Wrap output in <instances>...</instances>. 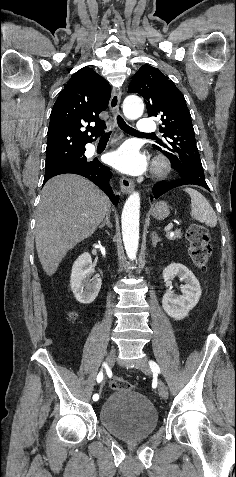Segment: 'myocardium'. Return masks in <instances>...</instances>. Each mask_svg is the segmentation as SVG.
Segmentation results:
<instances>
[{
	"label": "myocardium",
	"instance_id": "myocardium-1",
	"mask_svg": "<svg viewBox=\"0 0 236 477\" xmlns=\"http://www.w3.org/2000/svg\"><path fill=\"white\" fill-rule=\"evenodd\" d=\"M170 168L169 160L164 156H158L153 161L152 170L157 176L164 175Z\"/></svg>",
	"mask_w": 236,
	"mask_h": 477
}]
</instances>
